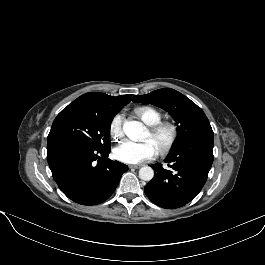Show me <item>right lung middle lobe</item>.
Listing matches in <instances>:
<instances>
[{
  "label": "right lung middle lobe",
  "mask_w": 265,
  "mask_h": 265,
  "mask_svg": "<svg viewBox=\"0 0 265 265\" xmlns=\"http://www.w3.org/2000/svg\"><path fill=\"white\" fill-rule=\"evenodd\" d=\"M113 117L80 107H66L55 118L47 141L80 140L95 149L110 148V127Z\"/></svg>",
  "instance_id": "obj_1"
}]
</instances>
